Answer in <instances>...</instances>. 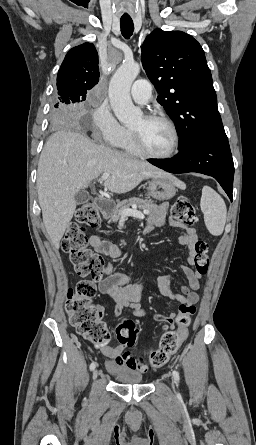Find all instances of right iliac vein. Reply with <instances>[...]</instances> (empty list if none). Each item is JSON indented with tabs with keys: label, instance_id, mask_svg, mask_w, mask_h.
<instances>
[{
	"label": "right iliac vein",
	"instance_id": "obj_1",
	"mask_svg": "<svg viewBox=\"0 0 256 445\" xmlns=\"http://www.w3.org/2000/svg\"><path fill=\"white\" fill-rule=\"evenodd\" d=\"M97 376H98V370L95 369V370L93 371L92 377H93V379H96Z\"/></svg>",
	"mask_w": 256,
	"mask_h": 445
}]
</instances>
